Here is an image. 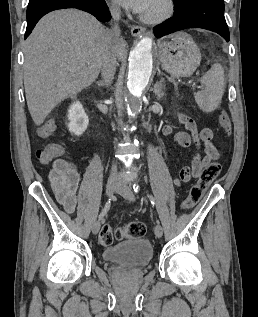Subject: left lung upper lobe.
<instances>
[{"label": "left lung upper lobe", "mask_w": 258, "mask_h": 317, "mask_svg": "<svg viewBox=\"0 0 258 317\" xmlns=\"http://www.w3.org/2000/svg\"><path fill=\"white\" fill-rule=\"evenodd\" d=\"M173 1L175 3V6L179 7V6H181L182 4H184L188 0H173Z\"/></svg>", "instance_id": "obj_1"}]
</instances>
